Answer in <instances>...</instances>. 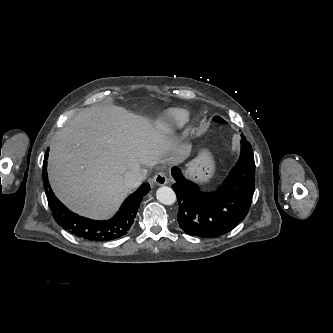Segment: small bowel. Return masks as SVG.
<instances>
[{"label": "small bowel", "mask_w": 333, "mask_h": 333, "mask_svg": "<svg viewBox=\"0 0 333 333\" xmlns=\"http://www.w3.org/2000/svg\"><path fill=\"white\" fill-rule=\"evenodd\" d=\"M231 141H232L231 143H232V146H233V148H232V149H233V150H232V151H233V154H234V155H237V156H238V155H241V154H242V151H243V150H242L243 148H242V145H241V143H242V142H241V141H242V140H241V137H240V136H237V135H236V136H233Z\"/></svg>", "instance_id": "small-bowel-1"}]
</instances>
